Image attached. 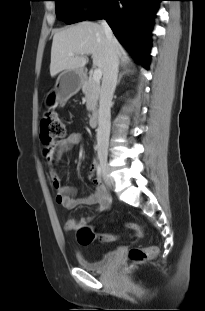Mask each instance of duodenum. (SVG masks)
<instances>
[{
    "label": "duodenum",
    "mask_w": 205,
    "mask_h": 311,
    "mask_svg": "<svg viewBox=\"0 0 205 311\" xmlns=\"http://www.w3.org/2000/svg\"><path fill=\"white\" fill-rule=\"evenodd\" d=\"M99 113L97 111H93L89 117V123L91 126H96L98 124Z\"/></svg>",
    "instance_id": "duodenum-1"
}]
</instances>
